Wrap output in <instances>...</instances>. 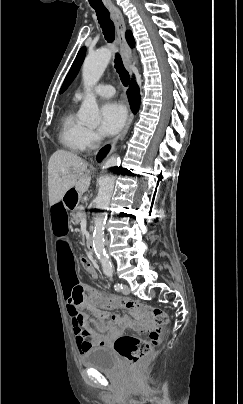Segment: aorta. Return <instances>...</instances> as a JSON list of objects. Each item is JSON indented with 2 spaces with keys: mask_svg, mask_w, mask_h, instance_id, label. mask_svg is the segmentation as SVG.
<instances>
[{
  "mask_svg": "<svg viewBox=\"0 0 243 404\" xmlns=\"http://www.w3.org/2000/svg\"><path fill=\"white\" fill-rule=\"evenodd\" d=\"M113 52H115L114 44H111V46H104V48H99L97 52L89 54L83 62L82 76L86 88V96L77 116L80 122H84L87 126H94V128H96L101 122V116H99L98 112V104L94 94L91 92V88L99 82L102 74H104ZM118 162V158L111 156L108 161H105L104 166L101 167L99 175V192L96 198L94 212L93 248L103 266V272H106V270L111 272L112 270V266L104 250V230L105 219L108 217L109 204L114 190V183L117 179L115 174L119 168Z\"/></svg>",
  "mask_w": 243,
  "mask_h": 404,
  "instance_id": "obj_1",
  "label": "aorta"
}]
</instances>
